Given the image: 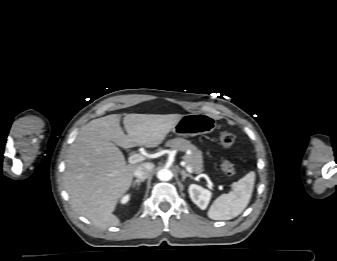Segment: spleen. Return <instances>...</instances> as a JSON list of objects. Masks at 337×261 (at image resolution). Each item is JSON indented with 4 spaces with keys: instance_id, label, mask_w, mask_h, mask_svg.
<instances>
[{
    "instance_id": "obj_1",
    "label": "spleen",
    "mask_w": 337,
    "mask_h": 261,
    "mask_svg": "<svg viewBox=\"0 0 337 261\" xmlns=\"http://www.w3.org/2000/svg\"><path fill=\"white\" fill-rule=\"evenodd\" d=\"M255 177V172L250 171L233 183L232 191L220 195L212 203L208 211V217L213 220H230L240 215L251 199Z\"/></svg>"
}]
</instances>
